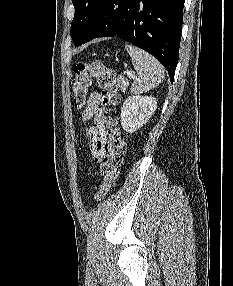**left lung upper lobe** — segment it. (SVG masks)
Wrapping results in <instances>:
<instances>
[{"label": "left lung upper lobe", "mask_w": 233, "mask_h": 286, "mask_svg": "<svg viewBox=\"0 0 233 286\" xmlns=\"http://www.w3.org/2000/svg\"><path fill=\"white\" fill-rule=\"evenodd\" d=\"M102 1L103 0H72L75 8V15L71 23L70 31L73 42L81 36Z\"/></svg>", "instance_id": "1"}]
</instances>
